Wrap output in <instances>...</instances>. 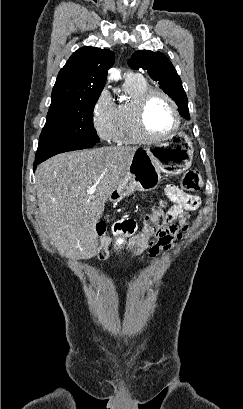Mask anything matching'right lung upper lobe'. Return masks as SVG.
Masks as SVG:
<instances>
[{
    "mask_svg": "<svg viewBox=\"0 0 243 409\" xmlns=\"http://www.w3.org/2000/svg\"><path fill=\"white\" fill-rule=\"evenodd\" d=\"M113 64L114 53L108 49L92 46L78 49L60 70L52 90L51 103L98 100L107 70Z\"/></svg>",
    "mask_w": 243,
    "mask_h": 409,
    "instance_id": "right-lung-upper-lobe-1",
    "label": "right lung upper lobe"
}]
</instances>
